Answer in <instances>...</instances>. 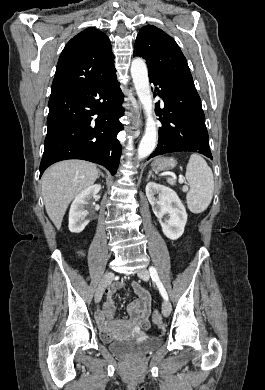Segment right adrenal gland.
Listing matches in <instances>:
<instances>
[{"instance_id":"right-adrenal-gland-1","label":"right adrenal gland","mask_w":265,"mask_h":390,"mask_svg":"<svg viewBox=\"0 0 265 390\" xmlns=\"http://www.w3.org/2000/svg\"><path fill=\"white\" fill-rule=\"evenodd\" d=\"M99 176H101L102 178L105 177L104 174L101 171H99Z\"/></svg>"}]
</instances>
